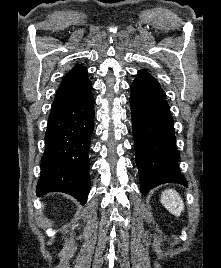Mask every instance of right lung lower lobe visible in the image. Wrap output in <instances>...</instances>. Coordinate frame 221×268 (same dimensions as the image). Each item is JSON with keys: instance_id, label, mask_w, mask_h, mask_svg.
I'll return each mask as SVG.
<instances>
[{"instance_id": "obj_1", "label": "right lung lower lobe", "mask_w": 221, "mask_h": 268, "mask_svg": "<svg viewBox=\"0 0 221 268\" xmlns=\"http://www.w3.org/2000/svg\"><path fill=\"white\" fill-rule=\"evenodd\" d=\"M94 100L89 91L74 101L55 104L48 118L37 195L60 191L85 204L89 193L90 140Z\"/></svg>"}]
</instances>
